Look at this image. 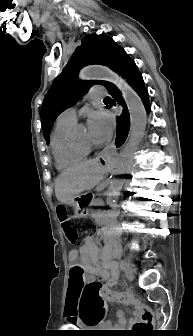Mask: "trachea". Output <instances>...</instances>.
Masks as SVG:
<instances>
[{
	"label": "trachea",
	"instance_id": "3493384b",
	"mask_svg": "<svg viewBox=\"0 0 193 336\" xmlns=\"http://www.w3.org/2000/svg\"><path fill=\"white\" fill-rule=\"evenodd\" d=\"M104 100H109V97L105 98Z\"/></svg>",
	"mask_w": 193,
	"mask_h": 336
}]
</instances>
